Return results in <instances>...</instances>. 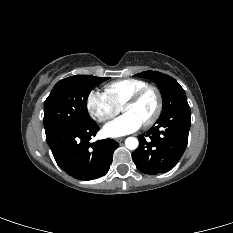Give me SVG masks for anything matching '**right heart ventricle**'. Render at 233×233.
Instances as JSON below:
<instances>
[{
  "instance_id": "right-heart-ventricle-1",
  "label": "right heart ventricle",
  "mask_w": 233,
  "mask_h": 233,
  "mask_svg": "<svg viewBox=\"0 0 233 233\" xmlns=\"http://www.w3.org/2000/svg\"><path fill=\"white\" fill-rule=\"evenodd\" d=\"M147 83L139 79H122L105 86L104 94L117 107L121 108L126 99Z\"/></svg>"
}]
</instances>
